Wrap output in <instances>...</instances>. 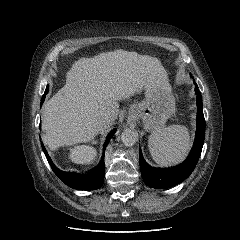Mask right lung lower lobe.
I'll return each mask as SVG.
<instances>
[{"label":"right lung lower lobe","mask_w":240,"mask_h":240,"mask_svg":"<svg viewBox=\"0 0 240 240\" xmlns=\"http://www.w3.org/2000/svg\"><path fill=\"white\" fill-rule=\"evenodd\" d=\"M45 100V96L42 97L41 104ZM115 131L113 130L110 132L106 138L104 148H103V155L99 164L93 169V172L90 174H78L72 172H64L58 169L52 162L51 158L49 157L43 143L42 149L44 154L50 164L53 172L63 181L66 185L71 188L79 189V190H95L100 188L104 182V152L106 149L107 144L109 143L111 137L114 135Z\"/></svg>","instance_id":"obj_1"}]
</instances>
